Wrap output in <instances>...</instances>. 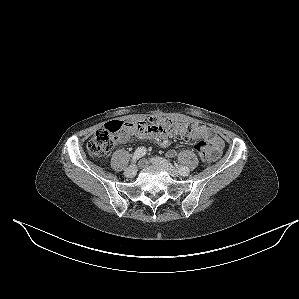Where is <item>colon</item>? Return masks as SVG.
I'll return each instance as SVG.
<instances>
[{"instance_id":"colon-1","label":"colon","mask_w":299,"mask_h":299,"mask_svg":"<svg viewBox=\"0 0 299 299\" xmlns=\"http://www.w3.org/2000/svg\"><path fill=\"white\" fill-rule=\"evenodd\" d=\"M196 126L195 123H175L170 119L163 117L151 118L149 122L140 121L137 123L113 120L96 131L89 141L87 148L92 157L101 158L106 156L131 128H137L139 130H157L165 134L174 135L180 139H188L196 129ZM195 149L203 162H210L205 141H197Z\"/></svg>"}]
</instances>
